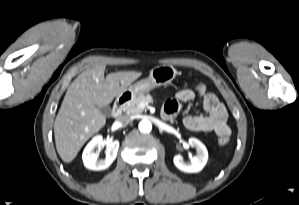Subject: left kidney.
I'll list each match as a JSON object with an SVG mask.
<instances>
[{
    "label": "left kidney",
    "mask_w": 299,
    "mask_h": 205,
    "mask_svg": "<svg viewBox=\"0 0 299 205\" xmlns=\"http://www.w3.org/2000/svg\"><path fill=\"white\" fill-rule=\"evenodd\" d=\"M189 145L196 149L197 155L191 159L190 163H186L182 156L176 155L173 159L174 165L186 173L200 172L207 163L208 151L205 145L196 138H190Z\"/></svg>",
    "instance_id": "obj_1"
}]
</instances>
